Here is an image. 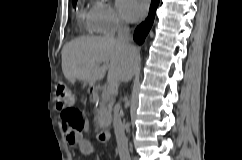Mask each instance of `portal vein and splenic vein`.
<instances>
[{
  "label": "portal vein and splenic vein",
  "mask_w": 242,
  "mask_h": 160,
  "mask_svg": "<svg viewBox=\"0 0 242 160\" xmlns=\"http://www.w3.org/2000/svg\"><path fill=\"white\" fill-rule=\"evenodd\" d=\"M106 69V67H104ZM111 90L109 89V87L107 89H104L103 92H102V97L104 99H109L110 97V94H111Z\"/></svg>",
  "instance_id": "portal-vein-and-splenic-vein-1"
}]
</instances>
